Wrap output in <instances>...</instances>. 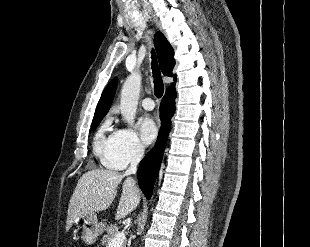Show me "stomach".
<instances>
[{"label": "stomach", "instance_id": "stomach-1", "mask_svg": "<svg viewBox=\"0 0 310 247\" xmlns=\"http://www.w3.org/2000/svg\"><path fill=\"white\" fill-rule=\"evenodd\" d=\"M81 220L82 224L80 226L79 222ZM74 223L82 229L81 239L87 245L93 244L104 230V225L98 221L95 213L88 214L83 218H78Z\"/></svg>", "mask_w": 310, "mask_h": 247}]
</instances>
